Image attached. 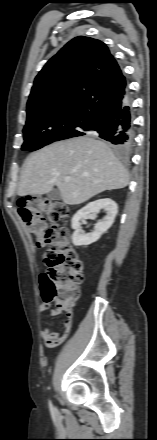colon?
Masks as SVG:
<instances>
[{
    "mask_svg": "<svg viewBox=\"0 0 157 440\" xmlns=\"http://www.w3.org/2000/svg\"><path fill=\"white\" fill-rule=\"evenodd\" d=\"M68 213L65 204L39 197L28 198L19 205V214L35 236L37 246H48L44 253L48 269L40 278L42 297L53 306V315L65 314L67 320L72 315L83 282L82 264L70 245L69 231L57 225ZM43 214H46L51 226Z\"/></svg>",
    "mask_w": 157,
    "mask_h": 440,
    "instance_id": "obj_1",
    "label": "colon"
}]
</instances>
